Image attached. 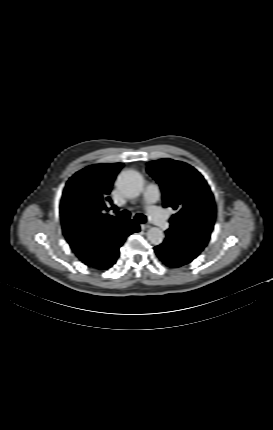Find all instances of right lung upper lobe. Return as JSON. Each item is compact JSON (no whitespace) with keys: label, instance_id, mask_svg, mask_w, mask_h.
I'll use <instances>...</instances> for the list:
<instances>
[{"label":"right lung upper lobe","instance_id":"1","mask_svg":"<svg viewBox=\"0 0 273 430\" xmlns=\"http://www.w3.org/2000/svg\"><path fill=\"white\" fill-rule=\"evenodd\" d=\"M123 166V163L94 164L66 183L60 203L62 229L81 261L88 259L90 247L101 233L115 231L128 223L114 222V217L107 213L112 204L109 194L113 182Z\"/></svg>","mask_w":273,"mask_h":430}]
</instances>
